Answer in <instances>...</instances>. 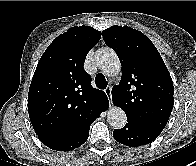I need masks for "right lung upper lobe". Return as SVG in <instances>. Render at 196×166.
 I'll list each match as a JSON object with an SVG mask.
<instances>
[{"label": "right lung upper lobe", "mask_w": 196, "mask_h": 166, "mask_svg": "<svg viewBox=\"0 0 196 166\" xmlns=\"http://www.w3.org/2000/svg\"><path fill=\"white\" fill-rule=\"evenodd\" d=\"M101 32L72 27L56 37L40 58L28 93V113L38 136L82 130L104 92L91 86L83 65Z\"/></svg>", "instance_id": "right-lung-upper-lobe-1"}]
</instances>
